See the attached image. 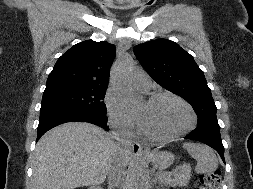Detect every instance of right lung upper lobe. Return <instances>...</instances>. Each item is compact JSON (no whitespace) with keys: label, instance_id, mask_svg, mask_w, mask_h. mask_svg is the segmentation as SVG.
Listing matches in <instances>:
<instances>
[{"label":"right lung upper lobe","instance_id":"cb5924a9","mask_svg":"<svg viewBox=\"0 0 253 189\" xmlns=\"http://www.w3.org/2000/svg\"><path fill=\"white\" fill-rule=\"evenodd\" d=\"M115 45L84 41L74 45L56 62L46 88L59 86L107 87L110 67L115 58Z\"/></svg>","mask_w":253,"mask_h":189}]
</instances>
